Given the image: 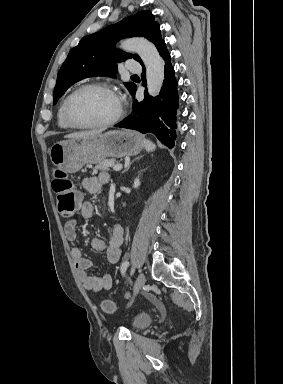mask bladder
<instances>
[{
    "label": "bladder",
    "instance_id": "1",
    "mask_svg": "<svg viewBox=\"0 0 283 384\" xmlns=\"http://www.w3.org/2000/svg\"><path fill=\"white\" fill-rule=\"evenodd\" d=\"M152 321V316L147 311H138L133 315L132 327L135 331H140L146 328Z\"/></svg>",
    "mask_w": 283,
    "mask_h": 384
}]
</instances>
